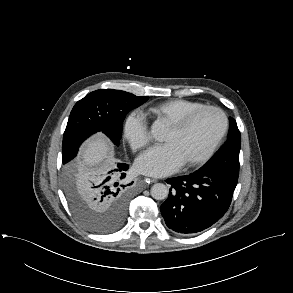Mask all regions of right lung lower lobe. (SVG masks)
Segmentation results:
<instances>
[{
  "instance_id": "obj_1",
  "label": "right lung lower lobe",
  "mask_w": 293,
  "mask_h": 293,
  "mask_svg": "<svg viewBox=\"0 0 293 293\" xmlns=\"http://www.w3.org/2000/svg\"><path fill=\"white\" fill-rule=\"evenodd\" d=\"M128 167L125 163H118L113 169L85 183L82 196L86 205L100 213L122 218L123 223L127 213L129 186L133 183L126 184L124 180Z\"/></svg>"
}]
</instances>
